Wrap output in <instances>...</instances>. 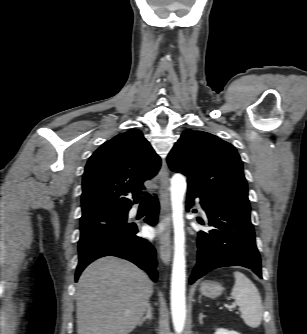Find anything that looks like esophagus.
Masks as SVG:
<instances>
[{
    "label": "esophagus",
    "instance_id": "obj_1",
    "mask_svg": "<svg viewBox=\"0 0 307 334\" xmlns=\"http://www.w3.org/2000/svg\"><path fill=\"white\" fill-rule=\"evenodd\" d=\"M160 182V202H161V214L160 224L166 227L165 236L160 239L159 255L163 263L168 265L171 261L172 256V245L170 240V224H171V213H170V194H169V172L166 161H163L162 167L159 174Z\"/></svg>",
    "mask_w": 307,
    "mask_h": 334
}]
</instances>
